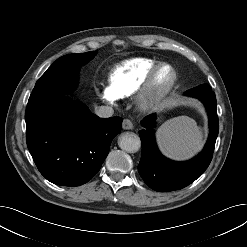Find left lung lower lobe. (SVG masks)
<instances>
[{"instance_id": "0a47b994", "label": "left lung lower lobe", "mask_w": 247, "mask_h": 247, "mask_svg": "<svg viewBox=\"0 0 247 247\" xmlns=\"http://www.w3.org/2000/svg\"><path fill=\"white\" fill-rule=\"evenodd\" d=\"M185 94L204 103L209 116V138L198 156L186 162H174L165 158L157 148L153 133L155 115L145 117L141 121L144 129L139 131L142 155L138 171L145 183L155 191L168 192L188 186L203 174L212 159L219 130L215 93L208 84H202L187 90Z\"/></svg>"}]
</instances>
